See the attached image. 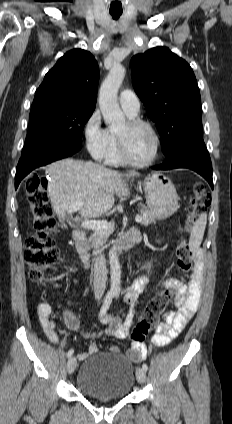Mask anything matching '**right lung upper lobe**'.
Here are the masks:
<instances>
[{"instance_id":"cb5924a9","label":"right lung upper lobe","mask_w":232,"mask_h":424,"mask_svg":"<svg viewBox=\"0 0 232 424\" xmlns=\"http://www.w3.org/2000/svg\"><path fill=\"white\" fill-rule=\"evenodd\" d=\"M99 67L93 55L74 49L62 56L36 90L31 108L71 105L95 109Z\"/></svg>"}]
</instances>
